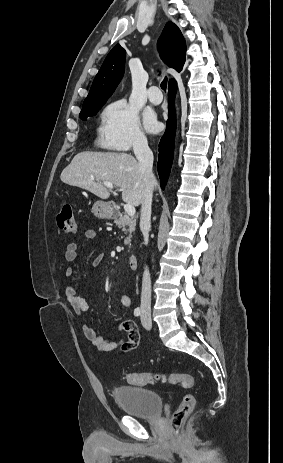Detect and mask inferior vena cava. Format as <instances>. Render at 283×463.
<instances>
[{
	"mask_svg": "<svg viewBox=\"0 0 283 463\" xmlns=\"http://www.w3.org/2000/svg\"><path fill=\"white\" fill-rule=\"evenodd\" d=\"M134 154L140 164L143 182V199L141 202L140 230L144 237L145 244L149 240V230L151 226V205L153 188L156 182L152 172L153 153L148 146L145 137H137L133 143ZM141 310H151V279L149 270L146 267L143 273L141 291Z\"/></svg>",
	"mask_w": 283,
	"mask_h": 463,
	"instance_id": "1",
	"label": "inferior vena cava"
}]
</instances>
